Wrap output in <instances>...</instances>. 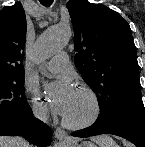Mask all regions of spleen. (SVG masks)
Segmentation results:
<instances>
[{
    "instance_id": "3e777b00",
    "label": "spleen",
    "mask_w": 145,
    "mask_h": 147,
    "mask_svg": "<svg viewBox=\"0 0 145 147\" xmlns=\"http://www.w3.org/2000/svg\"><path fill=\"white\" fill-rule=\"evenodd\" d=\"M96 142L100 147H118L114 140L109 136H101L96 138Z\"/></svg>"
}]
</instances>
